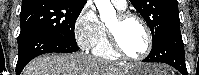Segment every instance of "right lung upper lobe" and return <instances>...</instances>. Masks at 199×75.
I'll return each mask as SVG.
<instances>
[{
    "label": "right lung upper lobe",
    "mask_w": 199,
    "mask_h": 75,
    "mask_svg": "<svg viewBox=\"0 0 199 75\" xmlns=\"http://www.w3.org/2000/svg\"><path fill=\"white\" fill-rule=\"evenodd\" d=\"M49 1H56V0H22V4L26 3H45ZM58 1H63L71 4H85L86 0H58Z\"/></svg>",
    "instance_id": "1"
}]
</instances>
